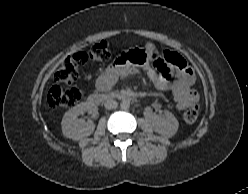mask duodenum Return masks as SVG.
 <instances>
[{
    "label": "duodenum",
    "mask_w": 248,
    "mask_h": 194,
    "mask_svg": "<svg viewBox=\"0 0 248 194\" xmlns=\"http://www.w3.org/2000/svg\"><path fill=\"white\" fill-rule=\"evenodd\" d=\"M133 98L120 92H105V93H91L88 97V101L91 104L99 105L110 100L130 101Z\"/></svg>",
    "instance_id": "obj_1"
}]
</instances>
